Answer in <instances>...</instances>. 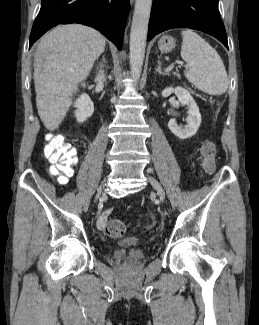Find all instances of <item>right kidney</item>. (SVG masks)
<instances>
[{
  "instance_id": "obj_1",
  "label": "right kidney",
  "mask_w": 259,
  "mask_h": 325,
  "mask_svg": "<svg viewBox=\"0 0 259 325\" xmlns=\"http://www.w3.org/2000/svg\"><path fill=\"white\" fill-rule=\"evenodd\" d=\"M74 107L76 108L74 114L79 123L85 122L94 112L93 102L87 94L80 95Z\"/></svg>"
}]
</instances>
